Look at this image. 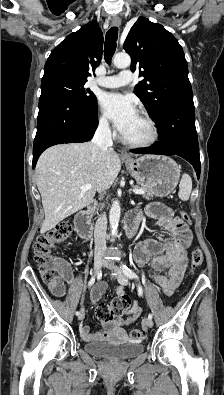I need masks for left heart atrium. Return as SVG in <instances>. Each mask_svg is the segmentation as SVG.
Here are the masks:
<instances>
[{
	"mask_svg": "<svg viewBox=\"0 0 224 395\" xmlns=\"http://www.w3.org/2000/svg\"><path fill=\"white\" fill-rule=\"evenodd\" d=\"M105 115L122 134L138 115L134 100L120 93H106L100 101Z\"/></svg>",
	"mask_w": 224,
	"mask_h": 395,
	"instance_id": "left-heart-atrium-1",
	"label": "left heart atrium"
}]
</instances>
